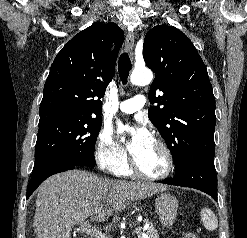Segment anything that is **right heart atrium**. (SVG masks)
<instances>
[{
  "label": "right heart atrium",
  "instance_id": "right-heart-atrium-1",
  "mask_svg": "<svg viewBox=\"0 0 247 238\" xmlns=\"http://www.w3.org/2000/svg\"><path fill=\"white\" fill-rule=\"evenodd\" d=\"M94 154L99 166L111 172L127 164L126 152L115 142L108 127H102L98 132Z\"/></svg>",
  "mask_w": 247,
  "mask_h": 238
}]
</instances>
